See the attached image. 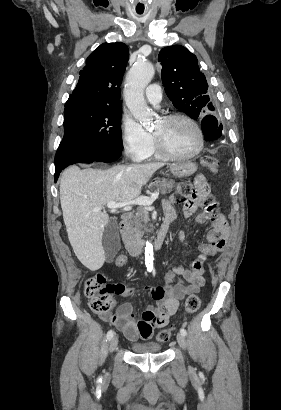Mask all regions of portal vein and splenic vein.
<instances>
[{
	"label": "portal vein and splenic vein",
	"instance_id": "portal-vein-and-splenic-vein-1",
	"mask_svg": "<svg viewBox=\"0 0 281 410\" xmlns=\"http://www.w3.org/2000/svg\"><path fill=\"white\" fill-rule=\"evenodd\" d=\"M158 196L159 191H155L150 197L140 196L133 200H126L122 202L111 201L107 203L106 207L109 209H131L132 205L151 206L153 202L158 198ZM102 208L104 207L94 208L93 212H99L100 210H102Z\"/></svg>",
	"mask_w": 281,
	"mask_h": 410
}]
</instances>
